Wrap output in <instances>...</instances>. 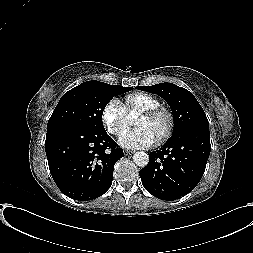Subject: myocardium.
I'll return each instance as SVG.
<instances>
[{"label":"myocardium","instance_id":"1","mask_svg":"<svg viewBox=\"0 0 253 253\" xmlns=\"http://www.w3.org/2000/svg\"><path fill=\"white\" fill-rule=\"evenodd\" d=\"M140 116H146V117H150V118L164 116L166 118V126H165L162 134L158 138V143H164L172 135L175 121H174V115H173L172 111L169 110L168 108L163 107V106H157V107L142 111L140 113Z\"/></svg>","mask_w":253,"mask_h":253}]
</instances>
